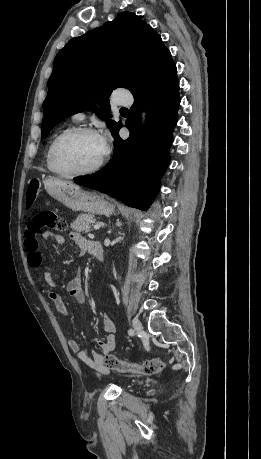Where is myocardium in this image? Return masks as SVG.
Masks as SVG:
<instances>
[{
	"instance_id": "f54148a6",
	"label": "myocardium",
	"mask_w": 261,
	"mask_h": 459,
	"mask_svg": "<svg viewBox=\"0 0 261 459\" xmlns=\"http://www.w3.org/2000/svg\"><path fill=\"white\" fill-rule=\"evenodd\" d=\"M81 134H88V135H94L99 137V134L92 128L89 127H72L61 134H59L55 140L53 141L51 148H50V153H49V165L53 173L66 177V178H71V177H79V176H86V175H91L98 170L104 165L107 157H108V150L106 149L104 151V154L102 157L91 167L80 170V171H74V172H65L60 170L57 165H56V152L59 147V145L67 138L76 136V135H81Z\"/></svg>"
}]
</instances>
